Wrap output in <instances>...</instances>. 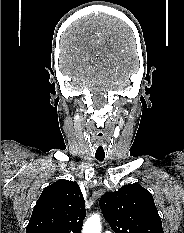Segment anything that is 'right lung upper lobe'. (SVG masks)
Segmentation results:
<instances>
[{"mask_svg":"<svg viewBox=\"0 0 184 233\" xmlns=\"http://www.w3.org/2000/svg\"><path fill=\"white\" fill-rule=\"evenodd\" d=\"M85 216L79 185L75 181L61 179L42 191L26 233H81Z\"/></svg>","mask_w":184,"mask_h":233,"instance_id":"right-lung-upper-lobe-1","label":"right lung upper lobe"}]
</instances>
